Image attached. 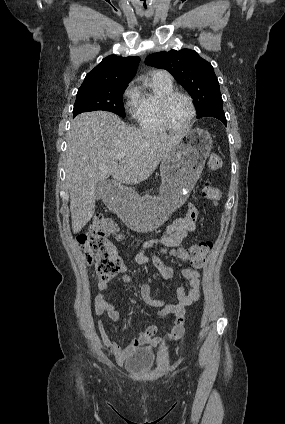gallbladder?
<instances>
[{
    "instance_id": "obj_1",
    "label": "gallbladder",
    "mask_w": 285,
    "mask_h": 424,
    "mask_svg": "<svg viewBox=\"0 0 285 424\" xmlns=\"http://www.w3.org/2000/svg\"><path fill=\"white\" fill-rule=\"evenodd\" d=\"M108 184L109 181L107 180H100L99 182H97V184L95 185V196L97 200L103 197L104 190Z\"/></svg>"
}]
</instances>
